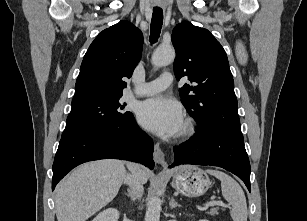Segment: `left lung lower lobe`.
<instances>
[{"label":"left lung lower lobe","mask_w":307,"mask_h":221,"mask_svg":"<svg viewBox=\"0 0 307 221\" xmlns=\"http://www.w3.org/2000/svg\"><path fill=\"white\" fill-rule=\"evenodd\" d=\"M244 140L221 131L200 132L174 147V163L222 167L237 175L251 192L250 163Z\"/></svg>","instance_id":"0a47b994"}]
</instances>
